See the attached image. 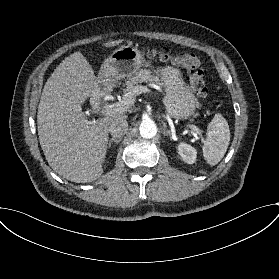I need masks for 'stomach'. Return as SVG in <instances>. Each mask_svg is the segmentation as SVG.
<instances>
[{
  "instance_id": "0dacf381",
  "label": "stomach",
  "mask_w": 279,
  "mask_h": 279,
  "mask_svg": "<svg viewBox=\"0 0 279 279\" xmlns=\"http://www.w3.org/2000/svg\"><path fill=\"white\" fill-rule=\"evenodd\" d=\"M142 66H151L142 51L131 45L121 46L104 60L99 75L105 82L112 84L116 80L132 77ZM154 72L164 87L163 104L169 116L185 120L194 115L200 103L190 86L184 82L180 69L166 66L158 67Z\"/></svg>"
}]
</instances>
